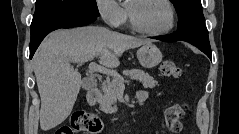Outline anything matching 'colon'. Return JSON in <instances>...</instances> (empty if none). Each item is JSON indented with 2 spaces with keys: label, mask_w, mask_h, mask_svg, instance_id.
Returning <instances> with one entry per match:
<instances>
[{
  "label": "colon",
  "mask_w": 239,
  "mask_h": 134,
  "mask_svg": "<svg viewBox=\"0 0 239 134\" xmlns=\"http://www.w3.org/2000/svg\"><path fill=\"white\" fill-rule=\"evenodd\" d=\"M160 70L162 75L166 78L176 79L181 76V68L171 59L165 60L161 64ZM188 108L186 103H176L166 109L165 122L171 132H181L182 123L180 119L186 114ZM101 130L102 124L97 117L79 111L73 114L70 125L58 128L55 134H74L78 132L99 134Z\"/></svg>",
  "instance_id": "5ec220e1"
}]
</instances>
